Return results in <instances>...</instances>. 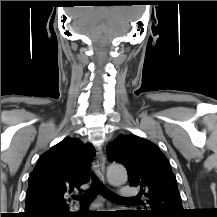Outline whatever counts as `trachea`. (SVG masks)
I'll return each mask as SVG.
<instances>
[{
    "mask_svg": "<svg viewBox=\"0 0 217 217\" xmlns=\"http://www.w3.org/2000/svg\"><path fill=\"white\" fill-rule=\"evenodd\" d=\"M99 193L103 195L106 199L114 202L128 200L106 188L102 183H100L96 176H93L92 178V185L90 189L81 196H73V199L78 200L81 206H87Z\"/></svg>",
    "mask_w": 217,
    "mask_h": 217,
    "instance_id": "3493384b",
    "label": "trachea"
}]
</instances>
